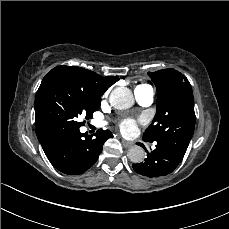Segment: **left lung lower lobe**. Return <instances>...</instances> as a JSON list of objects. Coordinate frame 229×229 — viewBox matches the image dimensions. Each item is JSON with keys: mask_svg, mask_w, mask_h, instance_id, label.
I'll return each instance as SVG.
<instances>
[{"mask_svg": "<svg viewBox=\"0 0 229 229\" xmlns=\"http://www.w3.org/2000/svg\"><path fill=\"white\" fill-rule=\"evenodd\" d=\"M137 144L145 149L142 143ZM183 157L182 153L175 151L169 145L157 142L156 149L147 154L144 162L132 166L135 172L143 176L149 178L161 177L170 174L182 161Z\"/></svg>", "mask_w": 229, "mask_h": 229, "instance_id": "obj_1", "label": "left lung lower lobe"}]
</instances>
